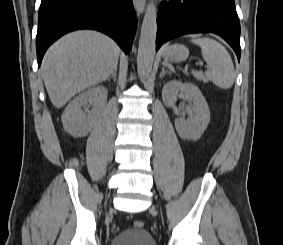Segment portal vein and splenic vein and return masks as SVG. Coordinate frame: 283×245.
I'll list each match as a JSON object with an SVG mask.
<instances>
[{
	"mask_svg": "<svg viewBox=\"0 0 283 245\" xmlns=\"http://www.w3.org/2000/svg\"><path fill=\"white\" fill-rule=\"evenodd\" d=\"M203 65V63H200V66H202Z\"/></svg>",
	"mask_w": 283,
	"mask_h": 245,
	"instance_id": "portal-vein-and-splenic-vein-1",
	"label": "portal vein and splenic vein"
}]
</instances>
